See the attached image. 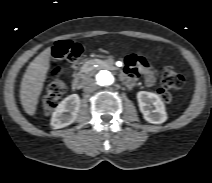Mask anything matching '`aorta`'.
<instances>
[{"label":"aorta","mask_w":212,"mask_h":183,"mask_svg":"<svg viewBox=\"0 0 212 183\" xmlns=\"http://www.w3.org/2000/svg\"><path fill=\"white\" fill-rule=\"evenodd\" d=\"M95 79H96V84L104 88L111 86L115 81L114 75L109 71L99 72L96 75Z\"/></svg>","instance_id":"aorta-1"}]
</instances>
